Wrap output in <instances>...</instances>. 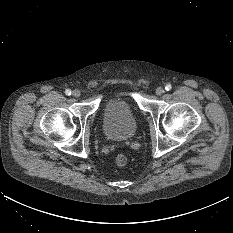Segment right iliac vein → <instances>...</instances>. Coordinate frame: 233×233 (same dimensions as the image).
Wrapping results in <instances>:
<instances>
[{"label":"right iliac vein","mask_w":233,"mask_h":233,"mask_svg":"<svg viewBox=\"0 0 233 233\" xmlns=\"http://www.w3.org/2000/svg\"><path fill=\"white\" fill-rule=\"evenodd\" d=\"M72 95H73L74 97H79V96L81 95V92H80L79 90H74V91L72 92Z\"/></svg>","instance_id":"63e3f726"}]
</instances>
